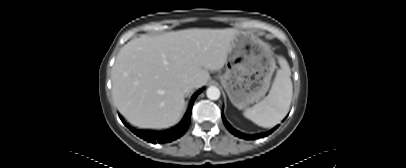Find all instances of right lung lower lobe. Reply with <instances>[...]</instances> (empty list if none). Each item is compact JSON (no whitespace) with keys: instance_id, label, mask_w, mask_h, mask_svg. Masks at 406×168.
<instances>
[{"instance_id":"98d812e1","label":"right lung lower lobe","mask_w":406,"mask_h":168,"mask_svg":"<svg viewBox=\"0 0 406 168\" xmlns=\"http://www.w3.org/2000/svg\"><path fill=\"white\" fill-rule=\"evenodd\" d=\"M202 90H199L192 99V103L190 105V108L185 115L184 119L174 128L168 129L166 131H145V130H137L132 127H130L125 121L121 118L122 122L127 126L134 134L139 136L140 138L146 140L147 142L151 143H168L173 140H176L180 138L188 129L189 124H190V119H191V112H192V107L193 103L196 99V97L200 94Z\"/></svg>"}]
</instances>
